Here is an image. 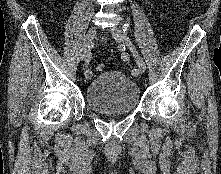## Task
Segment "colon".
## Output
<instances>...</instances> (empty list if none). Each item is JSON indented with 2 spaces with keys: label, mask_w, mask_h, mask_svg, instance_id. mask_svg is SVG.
<instances>
[{
  "label": "colon",
  "mask_w": 221,
  "mask_h": 174,
  "mask_svg": "<svg viewBox=\"0 0 221 174\" xmlns=\"http://www.w3.org/2000/svg\"><path fill=\"white\" fill-rule=\"evenodd\" d=\"M104 68H105L104 64H98L96 66V71L97 72H102L104 70Z\"/></svg>",
  "instance_id": "colon-1"
}]
</instances>
